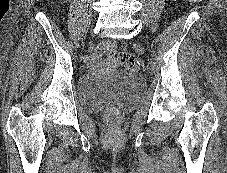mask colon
<instances>
[{
	"mask_svg": "<svg viewBox=\"0 0 227 173\" xmlns=\"http://www.w3.org/2000/svg\"><path fill=\"white\" fill-rule=\"evenodd\" d=\"M194 2L200 1V0H191ZM105 50L109 54H117V46L114 42H109L105 45ZM118 58L120 62L129 68H135L137 66V62L134 58V56L127 52H121L118 53Z\"/></svg>",
	"mask_w": 227,
	"mask_h": 173,
	"instance_id": "5ec220e1",
	"label": "colon"
}]
</instances>
